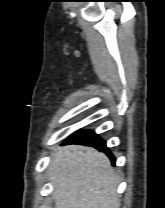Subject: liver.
Here are the masks:
<instances>
[{
  "label": "liver",
  "instance_id": "obj_1",
  "mask_svg": "<svg viewBox=\"0 0 165 208\" xmlns=\"http://www.w3.org/2000/svg\"><path fill=\"white\" fill-rule=\"evenodd\" d=\"M55 208H119V179L108 157L91 147H59L48 167Z\"/></svg>",
  "mask_w": 165,
  "mask_h": 208
}]
</instances>
